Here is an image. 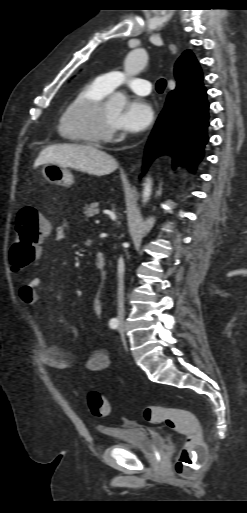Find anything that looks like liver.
I'll return each mask as SVG.
<instances>
[{
  "mask_svg": "<svg viewBox=\"0 0 247 513\" xmlns=\"http://www.w3.org/2000/svg\"><path fill=\"white\" fill-rule=\"evenodd\" d=\"M53 163L71 167L94 176L108 175L118 167L110 155L93 146L80 144H56L43 149L34 163V168Z\"/></svg>",
  "mask_w": 247,
  "mask_h": 513,
  "instance_id": "1",
  "label": "liver"
}]
</instances>
